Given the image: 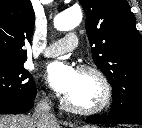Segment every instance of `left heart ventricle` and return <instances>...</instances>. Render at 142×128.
<instances>
[{
	"instance_id": "b2bd125f",
	"label": "left heart ventricle",
	"mask_w": 142,
	"mask_h": 128,
	"mask_svg": "<svg viewBox=\"0 0 142 128\" xmlns=\"http://www.w3.org/2000/svg\"><path fill=\"white\" fill-rule=\"evenodd\" d=\"M67 98L80 106H92L101 98V87L94 77L80 73L76 89Z\"/></svg>"
}]
</instances>
